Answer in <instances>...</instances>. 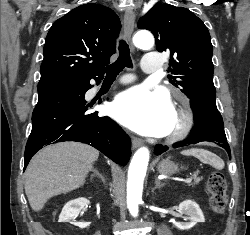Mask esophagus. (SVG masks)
<instances>
[{
    "instance_id": "34e87169",
    "label": "esophagus",
    "mask_w": 250,
    "mask_h": 235,
    "mask_svg": "<svg viewBox=\"0 0 250 235\" xmlns=\"http://www.w3.org/2000/svg\"><path fill=\"white\" fill-rule=\"evenodd\" d=\"M135 14L132 10H128L124 13V35L129 42L132 51H134V46L132 44V33L134 29ZM142 140L137 137H132V147L134 149L142 145Z\"/></svg>"
}]
</instances>
